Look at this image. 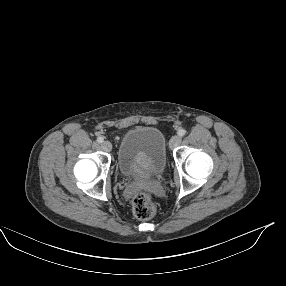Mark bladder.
<instances>
[{
    "instance_id": "31cf9c89",
    "label": "bladder",
    "mask_w": 286,
    "mask_h": 286,
    "mask_svg": "<svg viewBox=\"0 0 286 286\" xmlns=\"http://www.w3.org/2000/svg\"><path fill=\"white\" fill-rule=\"evenodd\" d=\"M166 163V139L159 129L135 127L122 136L117 152V164L125 179L156 178L162 174Z\"/></svg>"
}]
</instances>
